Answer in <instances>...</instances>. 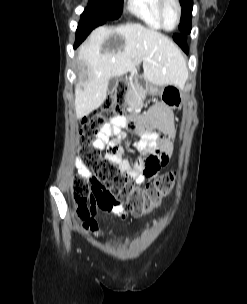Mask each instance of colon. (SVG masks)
<instances>
[{
  "instance_id": "colon-1",
  "label": "colon",
  "mask_w": 247,
  "mask_h": 304,
  "mask_svg": "<svg viewBox=\"0 0 247 304\" xmlns=\"http://www.w3.org/2000/svg\"><path fill=\"white\" fill-rule=\"evenodd\" d=\"M126 93L127 87L121 83L115 93L106 98L99 110L82 120L79 136L82 158L92 169L100 185V189L95 188L80 175L73 181L77 215L85 224L92 219L95 203L103 195L120 203L126 211L141 215L157 206L170 193L175 182V173H167L139 189L121 172L118 165L104 162V155L95 145V139L107 122L122 114ZM147 161L150 168L158 165L156 158Z\"/></svg>"
}]
</instances>
